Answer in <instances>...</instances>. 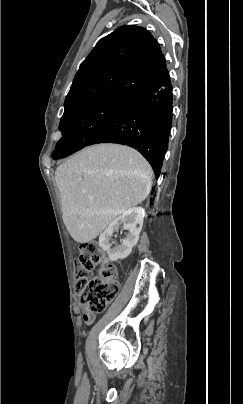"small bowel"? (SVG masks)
<instances>
[{
    "label": "small bowel",
    "mask_w": 243,
    "mask_h": 404,
    "mask_svg": "<svg viewBox=\"0 0 243 404\" xmlns=\"http://www.w3.org/2000/svg\"><path fill=\"white\" fill-rule=\"evenodd\" d=\"M95 319V315L94 313H91L89 311H85L83 314V320L85 323L90 324L93 322V320Z\"/></svg>",
    "instance_id": "obj_1"
}]
</instances>
